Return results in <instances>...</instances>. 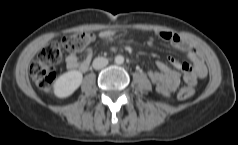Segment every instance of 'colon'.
<instances>
[{"label": "colon", "mask_w": 238, "mask_h": 145, "mask_svg": "<svg viewBox=\"0 0 238 145\" xmlns=\"http://www.w3.org/2000/svg\"><path fill=\"white\" fill-rule=\"evenodd\" d=\"M93 35L89 32H81L64 37L60 41H53L42 48L30 66V76L36 87L49 92L56 78L55 66L62 59L63 49L76 53L82 51L91 41ZM194 94L191 87H182L178 92V98L185 100Z\"/></svg>", "instance_id": "5ec220e1"}]
</instances>
